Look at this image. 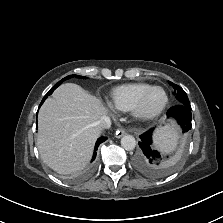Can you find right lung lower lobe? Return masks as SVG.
<instances>
[{
  "instance_id": "right-lung-lower-lobe-1",
  "label": "right lung lower lobe",
  "mask_w": 223,
  "mask_h": 223,
  "mask_svg": "<svg viewBox=\"0 0 223 223\" xmlns=\"http://www.w3.org/2000/svg\"><path fill=\"white\" fill-rule=\"evenodd\" d=\"M46 98H47V97H44V98H43L41 104L44 102V100H45ZM41 104H40V106H41ZM36 129H37V127H36ZM106 139H107V138H105V137H101V138H99V139L97 140L96 145H95V151H94V154H93L92 161L95 159V156H96V150H97L98 146H99L102 142H104Z\"/></svg>"
}]
</instances>
